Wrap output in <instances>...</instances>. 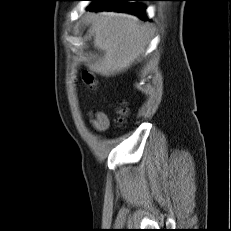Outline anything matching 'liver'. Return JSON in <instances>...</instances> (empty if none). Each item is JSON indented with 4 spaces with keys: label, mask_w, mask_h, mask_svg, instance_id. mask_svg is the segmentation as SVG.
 Masks as SVG:
<instances>
[{
    "label": "liver",
    "mask_w": 231,
    "mask_h": 231,
    "mask_svg": "<svg viewBox=\"0 0 231 231\" xmlns=\"http://www.w3.org/2000/svg\"><path fill=\"white\" fill-rule=\"evenodd\" d=\"M91 24L94 48L103 53L88 64L92 71L114 76L126 71L145 53L149 32L137 17L99 12L91 15Z\"/></svg>",
    "instance_id": "liver-1"
}]
</instances>
